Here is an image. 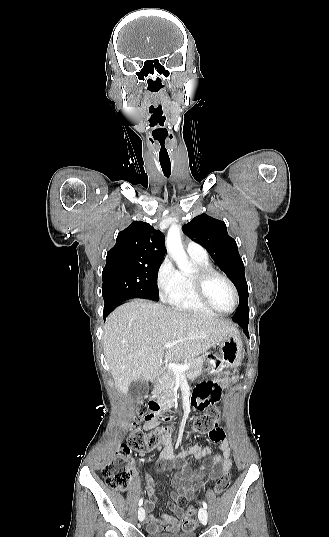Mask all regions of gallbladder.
I'll list each match as a JSON object with an SVG mask.
<instances>
[{"label": "gallbladder", "mask_w": 329, "mask_h": 537, "mask_svg": "<svg viewBox=\"0 0 329 537\" xmlns=\"http://www.w3.org/2000/svg\"><path fill=\"white\" fill-rule=\"evenodd\" d=\"M147 384L146 382L144 381V379L142 378H139L137 379L136 381H133L129 388H128V394L131 396V397H139L141 395H144L147 391Z\"/></svg>", "instance_id": "obj_1"}]
</instances>
